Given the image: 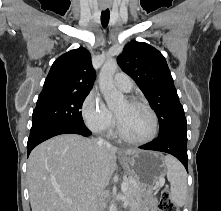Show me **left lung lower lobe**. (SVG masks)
Returning <instances> with one entry per match:
<instances>
[{"instance_id": "obj_1", "label": "left lung lower lobe", "mask_w": 221, "mask_h": 211, "mask_svg": "<svg viewBox=\"0 0 221 211\" xmlns=\"http://www.w3.org/2000/svg\"><path fill=\"white\" fill-rule=\"evenodd\" d=\"M145 150H154L169 153L182 162L188 171L187 130L179 128L160 135L154 141L140 147Z\"/></svg>"}]
</instances>
